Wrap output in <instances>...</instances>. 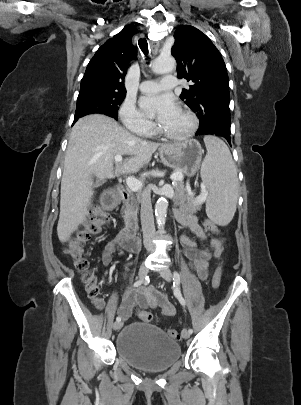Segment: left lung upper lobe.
Masks as SVG:
<instances>
[{
	"label": "left lung upper lobe",
	"instance_id": "left-lung-upper-lobe-1",
	"mask_svg": "<svg viewBox=\"0 0 301 405\" xmlns=\"http://www.w3.org/2000/svg\"><path fill=\"white\" fill-rule=\"evenodd\" d=\"M172 55L179 78L190 81L180 98L199 118V128L218 125L230 129L229 84L223 58L200 30L183 25L175 33Z\"/></svg>",
	"mask_w": 301,
	"mask_h": 405
}]
</instances>
